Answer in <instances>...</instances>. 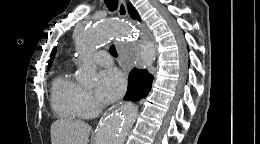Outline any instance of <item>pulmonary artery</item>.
Listing matches in <instances>:
<instances>
[{
	"label": "pulmonary artery",
	"instance_id": "pulmonary-artery-1",
	"mask_svg": "<svg viewBox=\"0 0 260 144\" xmlns=\"http://www.w3.org/2000/svg\"><path fill=\"white\" fill-rule=\"evenodd\" d=\"M93 59L95 63L101 67H108L112 65V57L106 51H98L94 54Z\"/></svg>",
	"mask_w": 260,
	"mask_h": 144
}]
</instances>
